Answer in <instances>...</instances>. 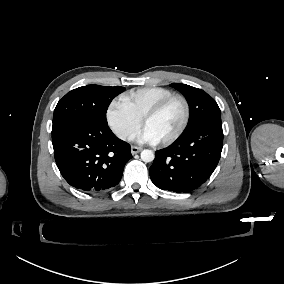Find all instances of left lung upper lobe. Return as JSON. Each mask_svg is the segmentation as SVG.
Wrapping results in <instances>:
<instances>
[{
	"mask_svg": "<svg viewBox=\"0 0 284 284\" xmlns=\"http://www.w3.org/2000/svg\"><path fill=\"white\" fill-rule=\"evenodd\" d=\"M187 99L190 107V118L186 129L209 122H221V112L216 101L205 91L180 83H172Z\"/></svg>",
	"mask_w": 284,
	"mask_h": 284,
	"instance_id": "obj_1",
	"label": "left lung upper lobe"
}]
</instances>
